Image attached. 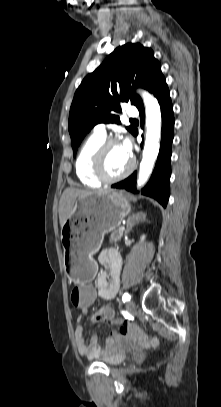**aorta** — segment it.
Returning a JSON list of instances; mask_svg holds the SVG:
<instances>
[{"label":"aorta","instance_id":"1","mask_svg":"<svg viewBox=\"0 0 221 407\" xmlns=\"http://www.w3.org/2000/svg\"><path fill=\"white\" fill-rule=\"evenodd\" d=\"M146 113V140L142 161L140 163L138 188L144 186L152 173L160 149L161 110L156 98L146 91L141 92Z\"/></svg>","mask_w":221,"mask_h":407}]
</instances>
